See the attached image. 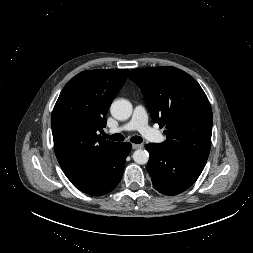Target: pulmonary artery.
I'll return each mask as SVG.
<instances>
[{"label": "pulmonary artery", "instance_id": "pulmonary-artery-1", "mask_svg": "<svg viewBox=\"0 0 253 253\" xmlns=\"http://www.w3.org/2000/svg\"><path fill=\"white\" fill-rule=\"evenodd\" d=\"M139 131L145 138L152 142L161 143L164 136L148 125V116L144 106L137 105L134 108L132 118L126 124L107 130V133L115 134L123 131Z\"/></svg>", "mask_w": 253, "mask_h": 253}]
</instances>
